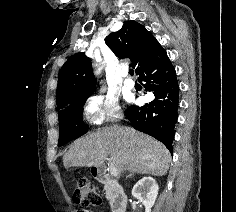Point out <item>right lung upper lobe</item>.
I'll list each match as a JSON object with an SVG mask.
<instances>
[{"mask_svg":"<svg viewBox=\"0 0 236 212\" xmlns=\"http://www.w3.org/2000/svg\"><path fill=\"white\" fill-rule=\"evenodd\" d=\"M105 43L118 58H129L137 75L160 46L144 26L133 20L125 21L119 31L109 34ZM95 82L91 60L84 52L71 56L59 72L58 108L62 110L77 98L91 95Z\"/></svg>","mask_w":236,"mask_h":212,"instance_id":"obj_1","label":"right lung upper lobe"}]
</instances>
